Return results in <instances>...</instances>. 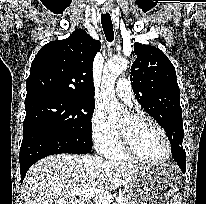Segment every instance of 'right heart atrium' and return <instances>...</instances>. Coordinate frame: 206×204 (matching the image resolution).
I'll return each instance as SVG.
<instances>
[{
	"label": "right heart atrium",
	"mask_w": 206,
	"mask_h": 204,
	"mask_svg": "<svg viewBox=\"0 0 206 204\" xmlns=\"http://www.w3.org/2000/svg\"><path fill=\"white\" fill-rule=\"evenodd\" d=\"M90 132L95 149L103 153L114 141L116 128L109 121L105 111L96 107L90 121Z\"/></svg>",
	"instance_id": "d8ad5b80"
}]
</instances>
